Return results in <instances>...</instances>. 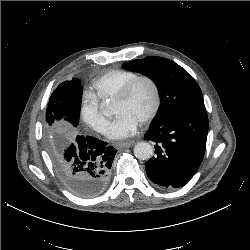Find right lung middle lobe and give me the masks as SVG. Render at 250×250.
<instances>
[{"mask_svg": "<svg viewBox=\"0 0 250 250\" xmlns=\"http://www.w3.org/2000/svg\"><path fill=\"white\" fill-rule=\"evenodd\" d=\"M82 86L81 81L73 78L71 81H64L52 93L46 109L45 136L49 153L57 169V162L60 160L64 148L60 139L54 135V123L64 119L74 126L78 125L81 109Z\"/></svg>", "mask_w": 250, "mask_h": 250, "instance_id": "right-lung-middle-lobe-1", "label": "right lung middle lobe"}]
</instances>
